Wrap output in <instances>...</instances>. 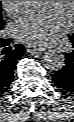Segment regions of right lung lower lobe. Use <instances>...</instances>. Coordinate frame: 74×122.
I'll use <instances>...</instances> for the list:
<instances>
[{"label":"right lung lower lobe","instance_id":"obj_1","mask_svg":"<svg viewBox=\"0 0 74 122\" xmlns=\"http://www.w3.org/2000/svg\"><path fill=\"white\" fill-rule=\"evenodd\" d=\"M10 40L0 38V93L9 89L18 60L25 54L23 45L9 46Z\"/></svg>","mask_w":74,"mask_h":122}]
</instances>
